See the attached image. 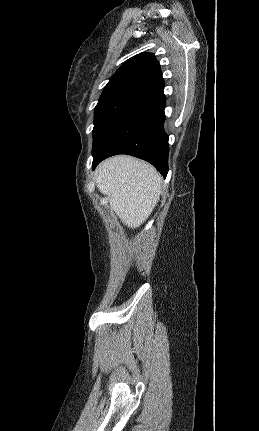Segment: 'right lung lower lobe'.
<instances>
[{"label":"right lung lower lobe","instance_id":"98d812e1","mask_svg":"<svg viewBox=\"0 0 259 431\" xmlns=\"http://www.w3.org/2000/svg\"><path fill=\"white\" fill-rule=\"evenodd\" d=\"M165 103L163 87L133 105L92 150V168L109 156L128 154L148 161L165 178L169 153Z\"/></svg>","mask_w":259,"mask_h":431}]
</instances>
